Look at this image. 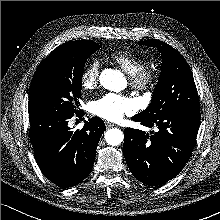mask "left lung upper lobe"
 <instances>
[{
  "instance_id": "1",
  "label": "left lung upper lobe",
  "mask_w": 220,
  "mask_h": 220,
  "mask_svg": "<svg viewBox=\"0 0 220 220\" xmlns=\"http://www.w3.org/2000/svg\"><path fill=\"white\" fill-rule=\"evenodd\" d=\"M138 44L157 47L162 55L161 73L151 103L138 115L155 118L172 111L200 112L194 79L182 55L160 40L150 39Z\"/></svg>"
}]
</instances>
